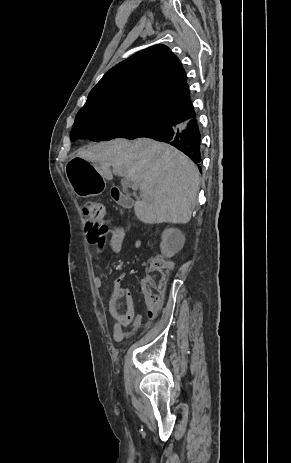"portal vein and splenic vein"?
Returning a JSON list of instances; mask_svg holds the SVG:
<instances>
[{"label":"portal vein and splenic vein","mask_w":291,"mask_h":463,"mask_svg":"<svg viewBox=\"0 0 291 463\" xmlns=\"http://www.w3.org/2000/svg\"><path fill=\"white\" fill-rule=\"evenodd\" d=\"M125 183H131L132 189L136 190L138 188V184L135 182H131L129 180H126Z\"/></svg>","instance_id":"obj_1"}]
</instances>
